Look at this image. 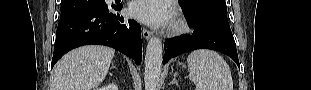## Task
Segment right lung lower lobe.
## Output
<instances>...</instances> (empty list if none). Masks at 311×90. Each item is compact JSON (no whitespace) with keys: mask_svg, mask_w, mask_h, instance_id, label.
<instances>
[{"mask_svg":"<svg viewBox=\"0 0 311 90\" xmlns=\"http://www.w3.org/2000/svg\"><path fill=\"white\" fill-rule=\"evenodd\" d=\"M122 5L89 9L60 19L52 58V67L68 51L83 45L113 47L134 59L142 60L141 27L135 20L119 15Z\"/></svg>","mask_w":311,"mask_h":90,"instance_id":"98d812e1","label":"right lung lower lobe"}]
</instances>
